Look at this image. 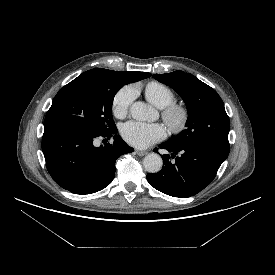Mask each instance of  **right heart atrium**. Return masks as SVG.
<instances>
[{"instance_id": "1", "label": "right heart atrium", "mask_w": 275, "mask_h": 275, "mask_svg": "<svg viewBox=\"0 0 275 275\" xmlns=\"http://www.w3.org/2000/svg\"><path fill=\"white\" fill-rule=\"evenodd\" d=\"M135 97V89L132 86L120 88L112 99V112L116 118H124Z\"/></svg>"}]
</instances>
